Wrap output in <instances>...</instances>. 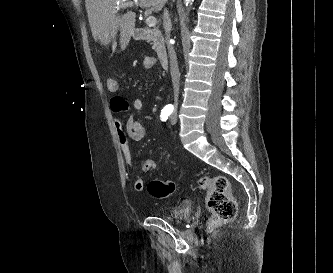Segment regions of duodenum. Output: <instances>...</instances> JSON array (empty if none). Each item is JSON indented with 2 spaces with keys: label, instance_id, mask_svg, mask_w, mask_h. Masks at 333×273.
I'll return each mask as SVG.
<instances>
[{
  "label": "duodenum",
  "instance_id": "obj_1",
  "mask_svg": "<svg viewBox=\"0 0 333 273\" xmlns=\"http://www.w3.org/2000/svg\"><path fill=\"white\" fill-rule=\"evenodd\" d=\"M135 36L141 41L152 42L154 44L160 65L163 68L168 67L169 55L162 30L137 28L135 30Z\"/></svg>",
  "mask_w": 333,
  "mask_h": 273
}]
</instances>
